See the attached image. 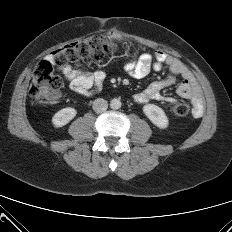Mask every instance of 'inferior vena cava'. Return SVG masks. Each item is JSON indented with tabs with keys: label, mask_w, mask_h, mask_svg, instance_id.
<instances>
[{
	"label": "inferior vena cava",
	"mask_w": 232,
	"mask_h": 232,
	"mask_svg": "<svg viewBox=\"0 0 232 232\" xmlns=\"http://www.w3.org/2000/svg\"><path fill=\"white\" fill-rule=\"evenodd\" d=\"M92 107L96 113H102L107 110L108 103L103 98H97L96 100H94Z\"/></svg>",
	"instance_id": "inferior-vena-cava-1"
}]
</instances>
